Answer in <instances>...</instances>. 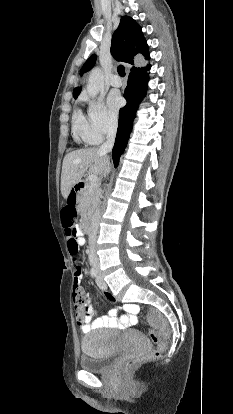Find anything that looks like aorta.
Returning <instances> with one entry per match:
<instances>
[{"label": "aorta", "mask_w": 233, "mask_h": 414, "mask_svg": "<svg viewBox=\"0 0 233 414\" xmlns=\"http://www.w3.org/2000/svg\"><path fill=\"white\" fill-rule=\"evenodd\" d=\"M104 86V76L102 70L99 67H95L91 70L88 82L86 85V90L92 98L96 97L99 91Z\"/></svg>", "instance_id": "762f6f07"}]
</instances>
